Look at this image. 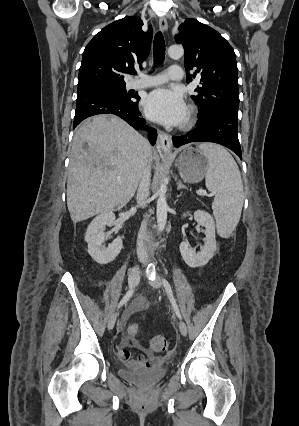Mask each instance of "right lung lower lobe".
<instances>
[{"instance_id":"obj_1","label":"right lung lower lobe","mask_w":299,"mask_h":426,"mask_svg":"<svg viewBox=\"0 0 299 426\" xmlns=\"http://www.w3.org/2000/svg\"><path fill=\"white\" fill-rule=\"evenodd\" d=\"M139 96L124 99L109 92L83 90L78 92L77 106L74 117L73 128H75L84 119L97 114H114L124 119L135 129H147L149 131V141L155 144L157 133L155 129H149L145 126L144 119L139 116L138 103Z\"/></svg>"}]
</instances>
